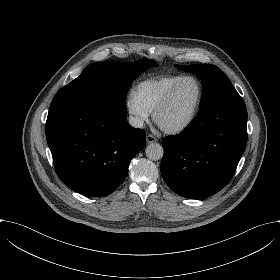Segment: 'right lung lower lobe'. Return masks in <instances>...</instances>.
<instances>
[{
  "label": "right lung lower lobe",
  "mask_w": 280,
  "mask_h": 280,
  "mask_svg": "<svg viewBox=\"0 0 280 280\" xmlns=\"http://www.w3.org/2000/svg\"><path fill=\"white\" fill-rule=\"evenodd\" d=\"M46 137L61 181L91 197L111 194L124 180L146 134L126 114L76 96H54Z\"/></svg>",
  "instance_id": "98d812e1"
}]
</instances>
